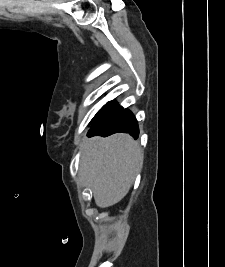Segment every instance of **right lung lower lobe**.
<instances>
[{"label": "right lung lower lobe", "instance_id": "98d812e1", "mask_svg": "<svg viewBox=\"0 0 225 267\" xmlns=\"http://www.w3.org/2000/svg\"><path fill=\"white\" fill-rule=\"evenodd\" d=\"M88 136L103 137L114 133H129L135 139L139 136L138 122L131 111L115 101H109L91 120Z\"/></svg>", "mask_w": 225, "mask_h": 267}]
</instances>
